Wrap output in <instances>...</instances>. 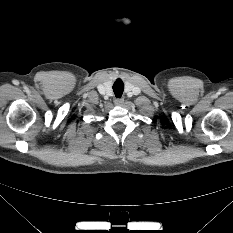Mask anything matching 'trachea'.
I'll use <instances>...</instances> for the list:
<instances>
[{
  "label": "trachea",
  "instance_id": "obj_1",
  "mask_svg": "<svg viewBox=\"0 0 233 233\" xmlns=\"http://www.w3.org/2000/svg\"><path fill=\"white\" fill-rule=\"evenodd\" d=\"M113 91L117 98H120L124 91V83L121 79H117L113 84Z\"/></svg>",
  "mask_w": 233,
  "mask_h": 233
}]
</instances>
